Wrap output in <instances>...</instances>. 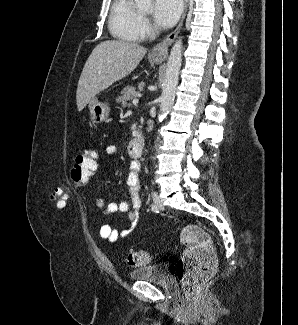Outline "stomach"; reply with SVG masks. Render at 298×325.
Masks as SVG:
<instances>
[{"mask_svg":"<svg viewBox=\"0 0 298 325\" xmlns=\"http://www.w3.org/2000/svg\"><path fill=\"white\" fill-rule=\"evenodd\" d=\"M150 62L154 64H161L165 58H154V56H149ZM89 114L92 122H104L110 114V106L108 102H101L99 96H94L91 102L88 104Z\"/></svg>","mask_w":298,"mask_h":325,"instance_id":"0dacf381","label":"stomach"}]
</instances>
